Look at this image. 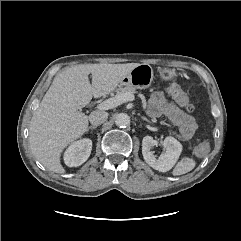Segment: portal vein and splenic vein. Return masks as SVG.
I'll return each mask as SVG.
<instances>
[{
	"label": "portal vein and splenic vein",
	"instance_id": "portal-vein-and-splenic-vein-1",
	"mask_svg": "<svg viewBox=\"0 0 241 241\" xmlns=\"http://www.w3.org/2000/svg\"><path fill=\"white\" fill-rule=\"evenodd\" d=\"M133 100H134V94L132 92H125L101 102L100 104L97 105L96 108L99 110H109L125 102H129Z\"/></svg>",
	"mask_w": 241,
	"mask_h": 241
}]
</instances>
